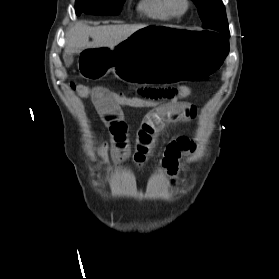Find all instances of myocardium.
<instances>
[{
    "instance_id": "myocardium-1",
    "label": "myocardium",
    "mask_w": 279,
    "mask_h": 279,
    "mask_svg": "<svg viewBox=\"0 0 279 279\" xmlns=\"http://www.w3.org/2000/svg\"><path fill=\"white\" fill-rule=\"evenodd\" d=\"M171 1V10L176 16H183L187 14L191 7L192 2L190 0H170Z\"/></svg>"
}]
</instances>
